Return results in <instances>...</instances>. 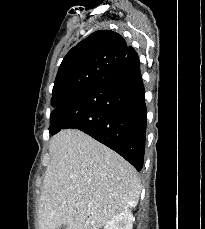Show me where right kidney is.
I'll use <instances>...</instances> for the list:
<instances>
[{
    "label": "right kidney",
    "instance_id": "obj_1",
    "mask_svg": "<svg viewBox=\"0 0 205 229\" xmlns=\"http://www.w3.org/2000/svg\"><path fill=\"white\" fill-rule=\"evenodd\" d=\"M133 227V215L130 211H123L114 216L104 229H132Z\"/></svg>",
    "mask_w": 205,
    "mask_h": 229
}]
</instances>
